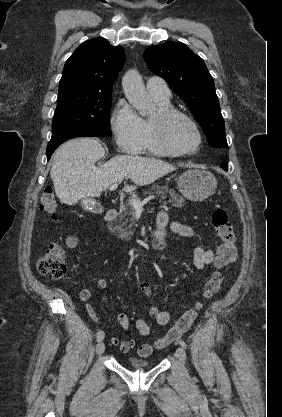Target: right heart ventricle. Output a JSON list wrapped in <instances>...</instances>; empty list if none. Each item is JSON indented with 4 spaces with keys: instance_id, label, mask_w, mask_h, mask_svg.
<instances>
[{
    "instance_id": "right-heart-ventricle-1",
    "label": "right heart ventricle",
    "mask_w": 282,
    "mask_h": 417,
    "mask_svg": "<svg viewBox=\"0 0 282 417\" xmlns=\"http://www.w3.org/2000/svg\"><path fill=\"white\" fill-rule=\"evenodd\" d=\"M155 102L161 108L170 107L169 102H163V101H158V100H155ZM144 125H145L146 138H145V146L143 150H149L155 153H168L164 148H162V146L157 141V138L151 128L150 119H145Z\"/></svg>"
}]
</instances>
